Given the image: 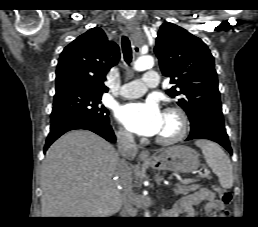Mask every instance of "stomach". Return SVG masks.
<instances>
[{
  "label": "stomach",
  "instance_id": "1",
  "mask_svg": "<svg viewBox=\"0 0 258 227\" xmlns=\"http://www.w3.org/2000/svg\"><path fill=\"white\" fill-rule=\"evenodd\" d=\"M200 165L198 153L184 145H176L162 150L149 166L155 170H169L178 173H189Z\"/></svg>",
  "mask_w": 258,
  "mask_h": 227
}]
</instances>
